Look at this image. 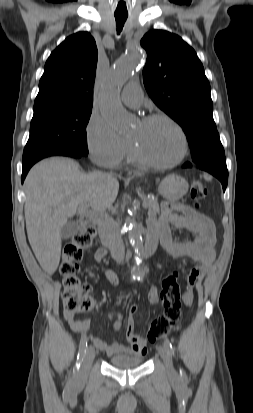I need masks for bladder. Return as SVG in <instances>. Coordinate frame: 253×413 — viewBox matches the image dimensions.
Listing matches in <instances>:
<instances>
[{
	"label": "bladder",
	"mask_w": 253,
	"mask_h": 413,
	"mask_svg": "<svg viewBox=\"0 0 253 413\" xmlns=\"http://www.w3.org/2000/svg\"><path fill=\"white\" fill-rule=\"evenodd\" d=\"M143 362L140 356L118 355L109 359V363L119 369H130L141 365Z\"/></svg>",
	"instance_id": "31cf9c89"
}]
</instances>
